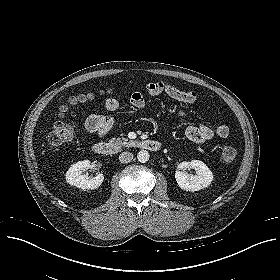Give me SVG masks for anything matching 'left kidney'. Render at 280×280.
<instances>
[{
	"mask_svg": "<svg viewBox=\"0 0 280 280\" xmlns=\"http://www.w3.org/2000/svg\"><path fill=\"white\" fill-rule=\"evenodd\" d=\"M187 168H193L196 175L188 174ZM175 178L179 187L186 191H199L208 187L213 181V173L208 166L200 160H192L190 162H182L177 166Z\"/></svg>",
	"mask_w": 280,
	"mask_h": 280,
	"instance_id": "obj_1",
	"label": "left kidney"
}]
</instances>
